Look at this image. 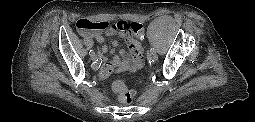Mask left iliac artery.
Masks as SVG:
<instances>
[{
	"label": "left iliac artery",
	"instance_id": "obj_1",
	"mask_svg": "<svg viewBox=\"0 0 255 122\" xmlns=\"http://www.w3.org/2000/svg\"><path fill=\"white\" fill-rule=\"evenodd\" d=\"M150 53H151V54L156 53V49H155V48H151V49H150Z\"/></svg>",
	"mask_w": 255,
	"mask_h": 122
}]
</instances>
